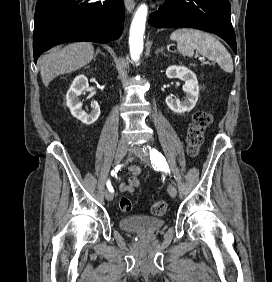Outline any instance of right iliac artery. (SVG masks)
I'll return each instance as SVG.
<instances>
[{"label":"right iliac artery","instance_id":"82829eb1","mask_svg":"<svg viewBox=\"0 0 272 282\" xmlns=\"http://www.w3.org/2000/svg\"><path fill=\"white\" fill-rule=\"evenodd\" d=\"M120 167H121V165L116 166L115 169L111 172V175L114 176L118 172ZM107 188H108L109 191L114 192V189H113L110 181L107 182Z\"/></svg>","mask_w":272,"mask_h":282}]
</instances>
